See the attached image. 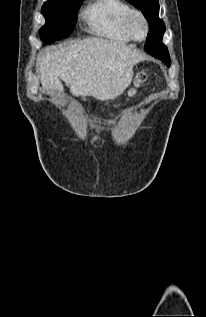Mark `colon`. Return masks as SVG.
Wrapping results in <instances>:
<instances>
[{
  "label": "colon",
  "mask_w": 206,
  "mask_h": 317,
  "mask_svg": "<svg viewBox=\"0 0 206 317\" xmlns=\"http://www.w3.org/2000/svg\"><path fill=\"white\" fill-rule=\"evenodd\" d=\"M145 80V74L143 72H139L136 74L135 80L133 82V87L130 89V93H134L136 88L141 85Z\"/></svg>",
  "instance_id": "obj_1"
}]
</instances>
